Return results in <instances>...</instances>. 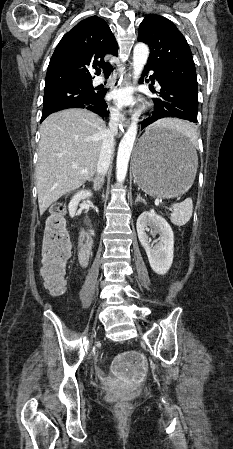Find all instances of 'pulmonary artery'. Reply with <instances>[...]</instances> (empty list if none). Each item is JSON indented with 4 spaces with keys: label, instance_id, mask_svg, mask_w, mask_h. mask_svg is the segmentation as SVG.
<instances>
[{
    "label": "pulmonary artery",
    "instance_id": "pulmonary-artery-1",
    "mask_svg": "<svg viewBox=\"0 0 233 449\" xmlns=\"http://www.w3.org/2000/svg\"><path fill=\"white\" fill-rule=\"evenodd\" d=\"M104 81H105V78H104V77H96V78L93 80V84H94V85H100V84H102ZM156 85H157V87H160L159 84H158L157 82H156Z\"/></svg>",
    "mask_w": 233,
    "mask_h": 449
}]
</instances>
